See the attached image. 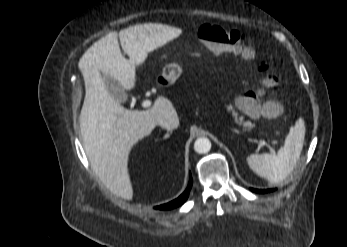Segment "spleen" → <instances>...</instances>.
<instances>
[{
    "label": "spleen",
    "instance_id": "obj_1",
    "mask_svg": "<svg viewBox=\"0 0 347 247\" xmlns=\"http://www.w3.org/2000/svg\"><path fill=\"white\" fill-rule=\"evenodd\" d=\"M305 125L302 118L298 119L290 128L285 144L277 154H252L247 157L250 168L260 177L271 184H278L285 180L295 168L302 152Z\"/></svg>",
    "mask_w": 347,
    "mask_h": 247
}]
</instances>
